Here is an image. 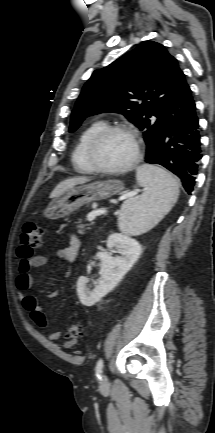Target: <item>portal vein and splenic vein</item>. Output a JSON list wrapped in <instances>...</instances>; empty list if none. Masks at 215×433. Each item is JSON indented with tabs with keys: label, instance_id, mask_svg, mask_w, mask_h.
<instances>
[{
	"label": "portal vein and splenic vein",
	"instance_id": "1",
	"mask_svg": "<svg viewBox=\"0 0 215 433\" xmlns=\"http://www.w3.org/2000/svg\"><path fill=\"white\" fill-rule=\"evenodd\" d=\"M136 194H137V191H131V192L126 194V197H132V196H135ZM106 213H107L106 209L95 210V211H93L87 215V220L93 221L97 216H100V215H103Z\"/></svg>",
	"mask_w": 215,
	"mask_h": 433
}]
</instances>
